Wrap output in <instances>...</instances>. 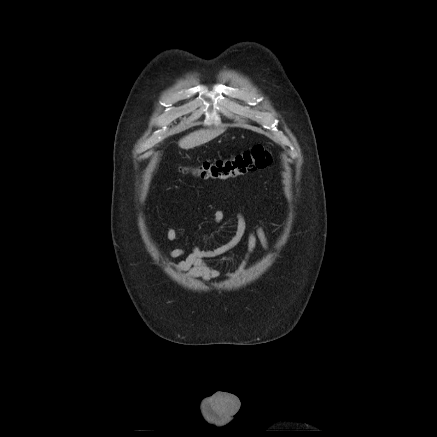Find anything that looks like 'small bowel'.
<instances>
[{
    "label": "small bowel",
    "mask_w": 437,
    "mask_h": 437,
    "mask_svg": "<svg viewBox=\"0 0 437 437\" xmlns=\"http://www.w3.org/2000/svg\"><path fill=\"white\" fill-rule=\"evenodd\" d=\"M223 220V211H215L213 215V223L219 224ZM245 232V218L241 213H238L236 216L235 232L228 242L214 249H204L200 244L195 245L191 252L184 259L173 261V259L183 257L185 255V249L179 243L177 232L173 228H167L166 237L169 241L173 242L175 246L170 248L167 252V255L162 259L168 267L184 274L187 277L200 278L204 281H211L221 278L234 279L241 276L245 272L249 259L253 254L257 244H260L265 250L269 249V242L262 227L258 226L249 233L246 242V254L236 270L231 272H222L208 264L207 259L219 257L235 248L243 239Z\"/></svg>",
    "instance_id": "1"
}]
</instances>
